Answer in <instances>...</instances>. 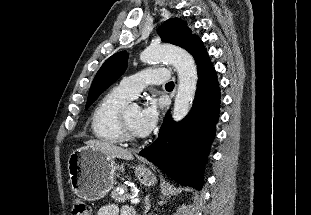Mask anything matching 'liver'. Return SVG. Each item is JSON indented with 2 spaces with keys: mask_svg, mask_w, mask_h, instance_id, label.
<instances>
[{
  "mask_svg": "<svg viewBox=\"0 0 311 215\" xmlns=\"http://www.w3.org/2000/svg\"><path fill=\"white\" fill-rule=\"evenodd\" d=\"M85 144L90 148L100 150L101 152H103L104 154H106L108 157L112 159L114 158H119V159H124V160L133 159V155L130 151L125 150L109 142L93 139V140L86 141Z\"/></svg>",
  "mask_w": 311,
  "mask_h": 215,
  "instance_id": "6515ba94",
  "label": "liver"
}]
</instances>
